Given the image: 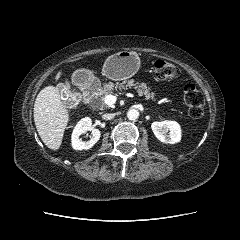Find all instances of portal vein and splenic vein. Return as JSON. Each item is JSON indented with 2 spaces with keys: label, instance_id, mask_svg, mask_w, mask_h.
I'll return each instance as SVG.
<instances>
[{
  "label": "portal vein and splenic vein",
  "instance_id": "obj_1",
  "mask_svg": "<svg viewBox=\"0 0 240 240\" xmlns=\"http://www.w3.org/2000/svg\"><path fill=\"white\" fill-rule=\"evenodd\" d=\"M116 100H117V97L115 95L109 94L105 97L104 102L106 105L112 106L115 104Z\"/></svg>",
  "mask_w": 240,
  "mask_h": 240
}]
</instances>
